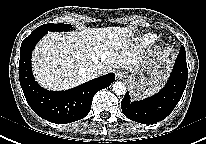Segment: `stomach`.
<instances>
[{
    "instance_id": "stomach-1",
    "label": "stomach",
    "mask_w": 206,
    "mask_h": 144,
    "mask_svg": "<svg viewBox=\"0 0 206 144\" xmlns=\"http://www.w3.org/2000/svg\"><path fill=\"white\" fill-rule=\"evenodd\" d=\"M173 60L174 54L168 49L146 58L129 69L126 78L131 94L134 97H142L149 91L159 88L167 78Z\"/></svg>"
}]
</instances>
